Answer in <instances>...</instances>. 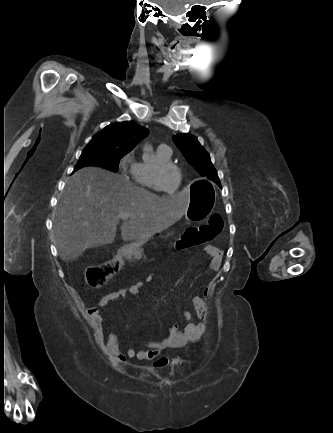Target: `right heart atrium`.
<instances>
[{"label": "right heart atrium", "instance_id": "obj_1", "mask_svg": "<svg viewBox=\"0 0 333 433\" xmlns=\"http://www.w3.org/2000/svg\"><path fill=\"white\" fill-rule=\"evenodd\" d=\"M138 163L135 159L134 151H129L123 155L119 160V170L123 175H131L135 177Z\"/></svg>", "mask_w": 333, "mask_h": 433}]
</instances>
